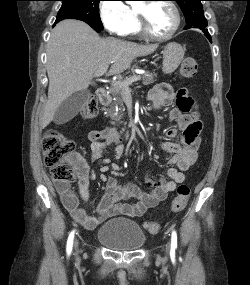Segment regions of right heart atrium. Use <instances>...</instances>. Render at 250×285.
<instances>
[{
	"label": "right heart atrium",
	"instance_id": "d8ad5b80",
	"mask_svg": "<svg viewBox=\"0 0 250 285\" xmlns=\"http://www.w3.org/2000/svg\"><path fill=\"white\" fill-rule=\"evenodd\" d=\"M100 18L104 27L111 33L124 35L133 22L131 9L122 0H104L101 2Z\"/></svg>",
	"mask_w": 250,
	"mask_h": 285
}]
</instances>
